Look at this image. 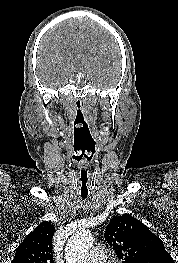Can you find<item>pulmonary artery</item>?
Segmentation results:
<instances>
[{
    "instance_id": "1",
    "label": "pulmonary artery",
    "mask_w": 178,
    "mask_h": 263,
    "mask_svg": "<svg viewBox=\"0 0 178 263\" xmlns=\"http://www.w3.org/2000/svg\"><path fill=\"white\" fill-rule=\"evenodd\" d=\"M108 258L107 252L102 247H94L88 255V263H106Z\"/></svg>"
}]
</instances>
